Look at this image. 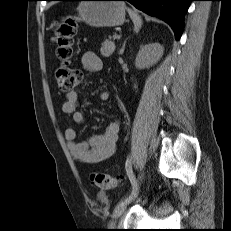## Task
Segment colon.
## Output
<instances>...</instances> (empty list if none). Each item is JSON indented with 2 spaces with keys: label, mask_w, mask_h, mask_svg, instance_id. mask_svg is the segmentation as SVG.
Masks as SVG:
<instances>
[{
  "label": "colon",
  "mask_w": 231,
  "mask_h": 231,
  "mask_svg": "<svg viewBox=\"0 0 231 231\" xmlns=\"http://www.w3.org/2000/svg\"><path fill=\"white\" fill-rule=\"evenodd\" d=\"M76 28L77 20L72 16L63 17L53 24L52 39L57 47V54L62 60L56 68L55 77L59 90L66 94L72 92L82 80V72L69 64ZM91 181L102 192L117 185V179L114 176L100 172L92 173Z\"/></svg>",
  "instance_id": "colon-1"
}]
</instances>
